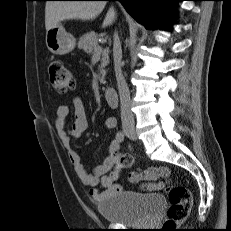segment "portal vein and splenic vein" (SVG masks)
<instances>
[{
  "instance_id": "1",
  "label": "portal vein and splenic vein",
  "mask_w": 231,
  "mask_h": 231,
  "mask_svg": "<svg viewBox=\"0 0 231 231\" xmlns=\"http://www.w3.org/2000/svg\"><path fill=\"white\" fill-rule=\"evenodd\" d=\"M101 50H102V48L100 47L99 49H97V52H96V54H94V55H95V56H99Z\"/></svg>"
}]
</instances>
